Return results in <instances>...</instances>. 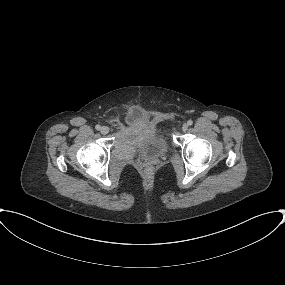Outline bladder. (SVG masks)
I'll return each instance as SVG.
<instances>
[{"instance_id": "1", "label": "bladder", "mask_w": 285, "mask_h": 285, "mask_svg": "<svg viewBox=\"0 0 285 285\" xmlns=\"http://www.w3.org/2000/svg\"><path fill=\"white\" fill-rule=\"evenodd\" d=\"M129 127L142 132L141 150L147 155L161 156L169 150L170 142L166 131L158 125L146 123L143 114L132 112Z\"/></svg>"}]
</instances>
